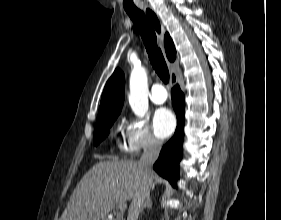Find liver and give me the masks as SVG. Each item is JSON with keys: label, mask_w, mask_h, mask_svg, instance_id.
Returning a JSON list of instances; mask_svg holds the SVG:
<instances>
[{"label": "liver", "mask_w": 281, "mask_h": 220, "mask_svg": "<svg viewBox=\"0 0 281 220\" xmlns=\"http://www.w3.org/2000/svg\"><path fill=\"white\" fill-rule=\"evenodd\" d=\"M143 179L139 163H96L80 180L60 220H107L116 205L133 198Z\"/></svg>", "instance_id": "1"}]
</instances>
